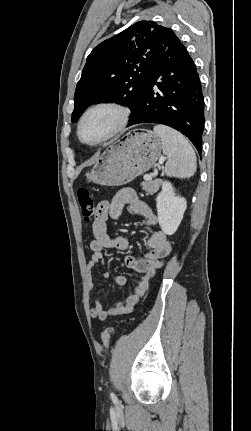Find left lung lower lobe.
I'll use <instances>...</instances> for the list:
<instances>
[{
  "instance_id": "obj_1",
  "label": "left lung lower lobe",
  "mask_w": 251,
  "mask_h": 431,
  "mask_svg": "<svg viewBox=\"0 0 251 431\" xmlns=\"http://www.w3.org/2000/svg\"><path fill=\"white\" fill-rule=\"evenodd\" d=\"M159 123L170 126L202 150L204 98L196 66L174 35L153 58L140 102L128 126Z\"/></svg>"
}]
</instances>
